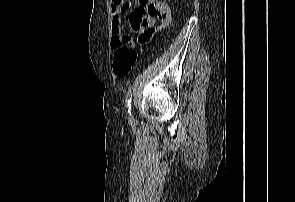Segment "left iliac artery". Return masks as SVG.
<instances>
[{"label": "left iliac artery", "mask_w": 295, "mask_h": 202, "mask_svg": "<svg viewBox=\"0 0 295 202\" xmlns=\"http://www.w3.org/2000/svg\"><path fill=\"white\" fill-rule=\"evenodd\" d=\"M131 101H132V91L129 90L126 95V107H127V111L129 115H131Z\"/></svg>", "instance_id": "1"}]
</instances>
